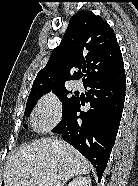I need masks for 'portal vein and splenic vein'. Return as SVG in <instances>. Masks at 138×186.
Returning <instances> with one entry per match:
<instances>
[{
  "label": "portal vein and splenic vein",
  "instance_id": "obj_1",
  "mask_svg": "<svg viewBox=\"0 0 138 186\" xmlns=\"http://www.w3.org/2000/svg\"><path fill=\"white\" fill-rule=\"evenodd\" d=\"M32 177H33L34 181L36 182V184H37L38 186H46V185H45V182L42 181V180H40V179H38L34 174H32Z\"/></svg>",
  "mask_w": 138,
  "mask_h": 186
}]
</instances>
